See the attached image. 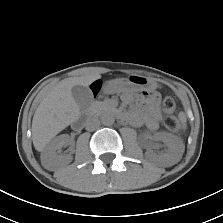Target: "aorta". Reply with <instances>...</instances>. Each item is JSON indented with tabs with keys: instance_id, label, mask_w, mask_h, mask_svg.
<instances>
[{
	"instance_id": "762f6f07",
	"label": "aorta",
	"mask_w": 223,
	"mask_h": 223,
	"mask_svg": "<svg viewBox=\"0 0 223 223\" xmlns=\"http://www.w3.org/2000/svg\"><path fill=\"white\" fill-rule=\"evenodd\" d=\"M101 122L105 126H111L115 122V117L111 113H106L101 116Z\"/></svg>"
}]
</instances>
